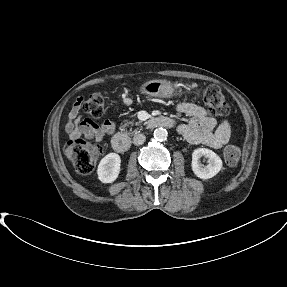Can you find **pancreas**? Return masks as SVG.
<instances>
[{"label": "pancreas", "instance_id": "pancreas-1", "mask_svg": "<svg viewBox=\"0 0 287 287\" xmlns=\"http://www.w3.org/2000/svg\"><path fill=\"white\" fill-rule=\"evenodd\" d=\"M139 123H140V122H138V123H136V124L138 125ZM129 124H130L131 126H133V123H132V122H127V123H125L124 125H122V128L127 127Z\"/></svg>", "mask_w": 287, "mask_h": 287}]
</instances>
